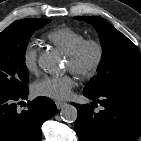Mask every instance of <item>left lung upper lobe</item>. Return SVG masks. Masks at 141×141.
<instances>
[{
  "instance_id": "1",
  "label": "left lung upper lobe",
  "mask_w": 141,
  "mask_h": 141,
  "mask_svg": "<svg viewBox=\"0 0 141 141\" xmlns=\"http://www.w3.org/2000/svg\"><path fill=\"white\" fill-rule=\"evenodd\" d=\"M97 30L103 48L98 74L84 91L100 94L113 88L141 90V54L137 47L106 20L97 16H78Z\"/></svg>"
}]
</instances>
